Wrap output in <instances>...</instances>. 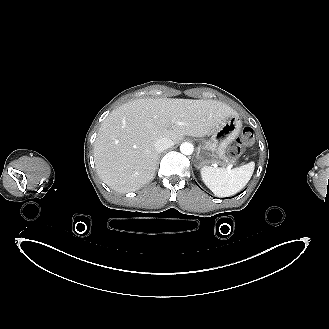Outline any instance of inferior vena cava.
Listing matches in <instances>:
<instances>
[{"instance_id": "obj_1", "label": "inferior vena cava", "mask_w": 329, "mask_h": 329, "mask_svg": "<svg viewBox=\"0 0 329 329\" xmlns=\"http://www.w3.org/2000/svg\"><path fill=\"white\" fill-rule=\"evenodd\" d=\"M174 145V142L167 138V137H162V138H159L156 142H155V150L158 152V153H161L163 152L164 150L172 147Z\"/></svg>"}]
</instances>
